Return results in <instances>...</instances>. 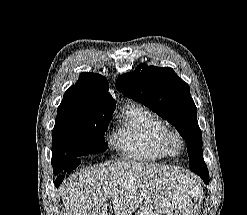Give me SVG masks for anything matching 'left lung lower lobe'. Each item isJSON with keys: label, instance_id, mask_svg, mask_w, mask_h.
Returning <instances> with one entry per match:
<instances>
[{"label": "left lung lower lobe", "instance_id": "0a47b994", "mask_svg": "<svg viewBox=\"0 0 247 215\" xmlns=\"http://www.w3.org/2000/svg\"><path fill=\"white\" fill-rule=\"evenodd\" d=\"M193 172L199 175L206 184L209 183V172L207 170L206 164H203L199 168L194 169Z\"/></svg>", "mask_w": 247, "mask_h": 215}]
</instances>
